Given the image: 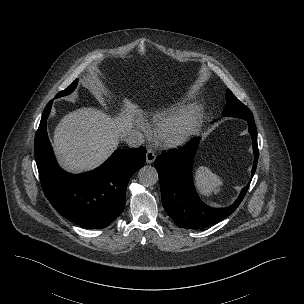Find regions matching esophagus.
Wrapping results in <instances>:
<instances>
[{
	"instance_id": "34e87169",
	"label": "esophagus",
	"mask_w": 304,
	"mask_h": 304,
	"mask_svg": "<svg viewBox=\"0 0 304 304\" xmlns=\"http://www.w3.org/2000/svg\"><path fill=\"white\" fill-rule=\"evenodd\" d=\"M155 158H156V154L153 150L149 149L147 150V153H146V162L148 164H151L155 161Z\"/></svg>"
}]
</instances>
